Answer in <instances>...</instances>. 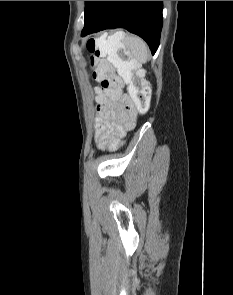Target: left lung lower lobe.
Masks as SVG:
<instances>
[{"instance_id": "left-lung-lower-lobe-1", "label": "left lung lower lobe", "mask_w": 233, "mask_h": 295, "mask_svg": "<svg viewBox=\"0 0 233 295\" xmlns=\"http://www.w3.org/2000/svg\"><path fill=\"white\" fill-rule=\"evenodd\" d=\"M162 9V1H96L81 35L125 28L142 37L154 54L160 41Z\"/></svg>"}]
</instances>
